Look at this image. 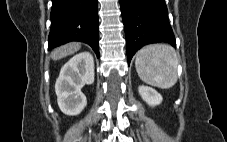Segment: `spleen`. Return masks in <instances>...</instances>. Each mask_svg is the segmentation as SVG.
<instances>
[{"label": "spleen", "instance_id": "3e777b00", "mask_svg": "<svg viewBox=\"0 0 227 142\" xmlns=\"http://www.w3.org/2000/svg\"><path fill=\"white\" fill-rule=\"evenodd\" d=\"M177 54L169 45L145 46L136 54L135 67L141 80L167 89L177 82Z\"/></svg>", "mask_w": 227, "mask_h": 142}]
</instances>
